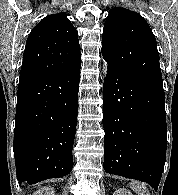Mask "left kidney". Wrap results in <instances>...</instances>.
<instances>
[{
    "mask_svg": "<svg viewBox=\"0 0 178 195\" xmlns=\"http://www.w3.org/2000/svg\"><path fill=\"white\" fill-rule=\"evenodd\" d=\"M113 195H133L129 190L124 188L117 189Z\"/></svg>",
    "mask_w": 178,
    "mask_h": 195,
    "instance_id": "obj_1",
    "label": "left kidney"
}]
</instances>
